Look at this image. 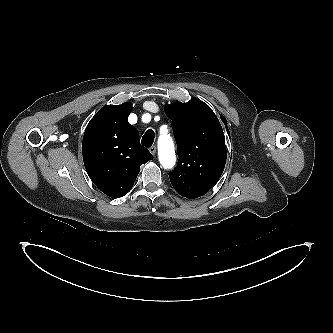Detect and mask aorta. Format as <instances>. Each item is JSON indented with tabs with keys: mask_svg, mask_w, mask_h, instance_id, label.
Segmentation results:
<instances>
[{
	"mask_svg": "<svg viewBox=\"0 0 333 333\" xmlns=\"http://www.w3.org/2000/svg\"><path fill=\"white\" fill-rule=\"evenodd\" d=\"M159 161L165 168H171L176 161L174 145L169 135L163 134L158 140Z\"/></svg>",
	"mask_w": 333,
	"mask_h": 333,
	"instance_id": "obj_1",
	"label": "aorta"
}]
</instances>
